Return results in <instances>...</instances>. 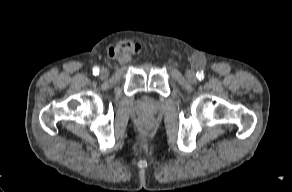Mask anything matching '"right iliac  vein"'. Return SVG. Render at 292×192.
I'll use <instances>...</instances> for the list:
<instances>
[{"mask_svg": "<svg viewBox=\"0 0 292 192\" xmlns=\"http://www.w3.org/2000/svg\"><path fill=\"white\" fill-rule=\"evenodd\" d=\"M108 75H109V72L106 69H102L100 71V78L105 79L108 77Z\"/></svg>", "mask_w": 292, "mask_h": 192, "instance_id": "63e3f726", "label": "right iliac vein"}]
</instances>
